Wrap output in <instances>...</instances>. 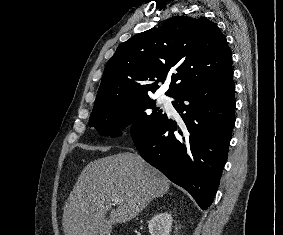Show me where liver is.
<instances>
[{
    "label": "liver",
    "mask_w": 283,
    "mask_h": 235,
    "mask_svg": "<svg viewBox=\"0 0 283 235\" xmlns=\"http://www.w3.org/2000/svg\"><path fill=\"white\" fill-rule=\"evenodd\" d=\"M169 188L170 181L138 154L94 160L82 170L64 206V233L110 235L113 225L132 220ZM113 198L120 200L116 209H111Z\"/></svg>",
    "instance_id": "liver-1"
}]
</instances>
